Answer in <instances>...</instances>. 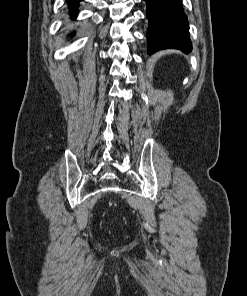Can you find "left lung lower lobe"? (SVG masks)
<instances>
[{
    "label": "left lung lower lobe",
    "instance_id": "left-lung-lower-lobe-1",
    "mask_svg": "<svg viewBox=\"0 0 247 296\" xmlns=\"http://www.w3.org/2000/svg\"><path fill=\"white\" fill-rule=\"evenodd\" d=\"M147 3L146 16L148 54L167 48L189 53L192 50L189 25L182 0H144Z\"/></svg>",
    "mask_w": 247,
    "mask_h": 296
}]
</instances>
